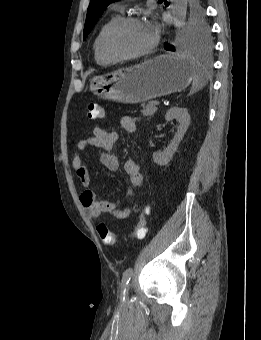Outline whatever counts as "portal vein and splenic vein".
<instances>
[{
  "label": "portal vein and splenic vein",
  "instance_id": "1",
  "mask_svg": "<svg viewBox=\"0 0 261 340\" xmlns=\"http://www.w3.org/2000/svg\"><path fill=\"white\" fill-rule=\"evenodd\" d=\"M155 105L159 106L160 105V101H155Z\"/></svg>",
  "mask_w": 261,
  "mask_h": 340
}]
</instances>
